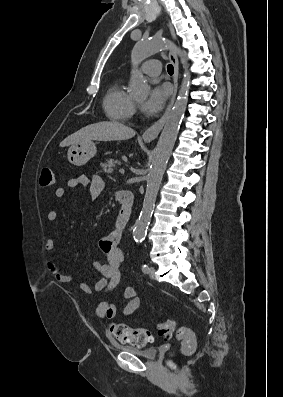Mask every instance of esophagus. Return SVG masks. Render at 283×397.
<instances>
[{"label": "esophagus", "mask_w": 283, "mask_h": 397, "mask_svg": "<svg viewBox=\"0 0 283 397\" xmlns=\"http://www.w3.org/2000/svg\"><path fill=\"white\" fill-rule=\"evenodd\" d=\"M169 27H170V32H171V35H172L173 39H176L174 30H173V28H172V26L170 24H169ZM169 59H170L172 65L174 67V75H173L174 91H173V95H172L171 101H170L169 105L167 106V108H166L164 114L162 115V117L158 121H156L152 126H150L143 133V135H142L143 139L145 141H148V142L156 139L157 136L159 135L160 131L162 130V128H163V126H164V124L166 122V119H167V117H168V115L170 113V110H171L172 105H173V103L175 101V98H176V94H177V90H178L179 62H178V57H177L176 53L173 52V51L170 52Z\"/></svg>", "instance_id": "1"}]
</instances>
